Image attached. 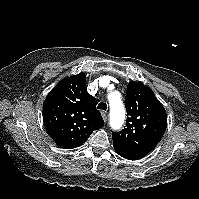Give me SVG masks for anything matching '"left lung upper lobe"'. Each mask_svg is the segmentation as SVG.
<instances>
[{"label":"left lung upper lobe","instance_id":"left-lung-upper-lobe-1","mask_svg":"<svg viewBox=\"0 0 199 199\" xmlns=\"http://www.w3.org/2000/svg\"><path fill=\"white\" fill-rule=\"evenodd\" d=\"M126 127L113 132V146L136 158L155 148L167 127V115L153 91L140 82H129L125 98Z\"/></svg>","mask_w":199,"mask_h":199}]
</instances>
